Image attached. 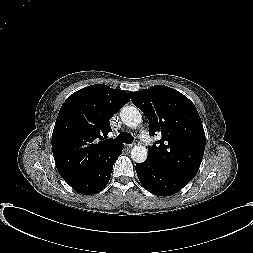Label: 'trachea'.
I'll use <instances>...</instances> for the list:
<instances>
[{
    "label": "trachea",
    "mask_w": 253,
    "mask_h": 253,
    "mask_svg": "<svg viewBox=\"0 0 253 253\" xmlns=\"http://www.w3.org/2000/svg\"><path fill=\"white\" fill-rule=\"evenodd\" d=\"M116 140L123 142V143H132L134 140V137L127 132H121L117 137Z\"/></svg>",
    "instance_id": "3493384b"
}]
</instances>
